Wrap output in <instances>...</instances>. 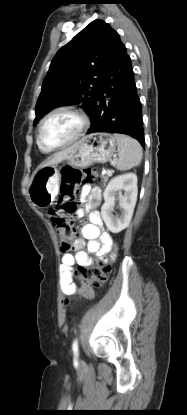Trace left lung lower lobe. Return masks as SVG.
Masks as SVG:
<instances>
[{
	"instance_id": "obj_1",
	"label": "left lung lower lobe",
	"mask_w": 187,
	"mask_h": 415,
	"mask_svg": "<svg viewBox=\"0 0 187 415\" xmlns=\"http://www.w3.org/2000/svg\"><path fill=\"white\" fill-rule=\"evenodd\" d=\"M88 134L109 132L130 135L145 147L142 108L134 71L125 45L118 36L98 85Z\"/></svg>"
}]
</instances>
